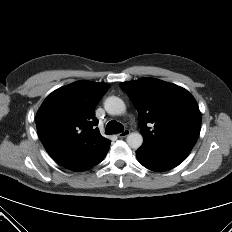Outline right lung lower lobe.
<instances>
[{"label":"right lung lower lobe","instance_id":"obj_1","mask_svg":"<svg viewBox=\"0 0 232 232\" xmlns=\"http://www.w3.org/2000/svg\"><path fill=\"white\" fill-rule=\"evenodd\" d=\"M105 155L90 160L74 162L63 167L72 171H85L100 163L104 159Z\"/></svg>","mask_w":232,"mask_h":232}]
</instances>
